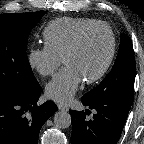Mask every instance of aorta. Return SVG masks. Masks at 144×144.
I'll use <instances>...</instances> for the list:
<instances>
[{"label":"aorta","mask_w":144,"mask_h":144,"mask_svg":"<svg viewBox=\"0 0 144 144\" xmlns=\"http://www.w3.org/2000/svg\"><path fill=\"white\" fill-rule=\"evenodd\" d=\"M54 124L57 128H68L71 125V115L66 111H59L54 114Z\"/></svg>","instance_id":"1"}]
</instances>
